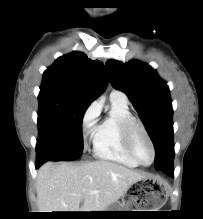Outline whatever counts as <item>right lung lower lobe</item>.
Masks as SVG:
<instances>
[{"label":"right lung lower lobe","mask_w":203,"mask_h":219,"mask_svg":"<svg viewBox=\"0 0 203 219\" xmlns=\"http://www.w3.org/2000/svg\"><path fill=\"white\" fill-rule=\"evenodd\" d=\"M42 163L40 161L36 162V167H39Z\"/></svg>","instance_id":"98d812e1"}]
</instances>
